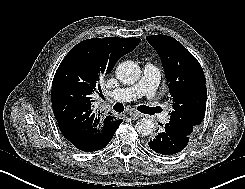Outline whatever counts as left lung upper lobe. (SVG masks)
Masks as SVG:
<instances>
[{
  "label": "left lung upper lobe",
  "mask_w": 245,
  "mask_h": 189,
  "mask_svg": "<svg viewBox=\"0 0 245 189\" xmlns=\"http://www.w3.org/2000/svg\"><path fill=\"white\" fill-rule=\"evenodd\" d=\"M146 39L159 54L169 83L173 109L166 125L179 136L191 137L205 115L207 89L203 69L176 39L166 35Z\"/></svg>",
  "instance_id": "1"
}]
</instances>
